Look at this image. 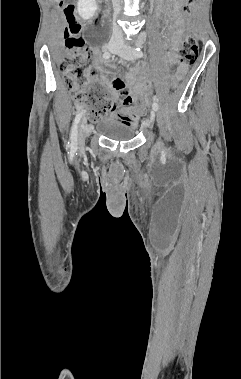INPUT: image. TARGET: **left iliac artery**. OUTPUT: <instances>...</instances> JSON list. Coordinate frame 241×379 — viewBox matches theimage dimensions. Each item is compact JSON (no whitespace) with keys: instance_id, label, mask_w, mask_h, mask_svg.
Wrapping results in <instances>:
<instances>
[{"instance_id":"obj_1","label":"left iliac artery","mask_w":241,"mask_h":379,"mask_svg":"<svg viewBox=\"0 0 241 379\" xmlns=\"http://www.w3.org/2000/svg\"><path fill=\"white\" fill-rule=\"evenodd\" d=\"M133 52H134V55L136 57H142L143 56V52L141 51V44L140 43H137V46L136 48L133 49ZM158 103H157V98L154 97V102H153V105H152V108L157 111L158 110Z\"/></svg>"}]
</instances>
